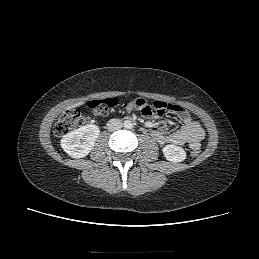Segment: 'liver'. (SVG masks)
<instances>
[{
	"mask_svg": "<svg viewBox=\"0 0 259 259\" xmlns=\"http://www.w3.org/2000/svg\"><path fill=\"white\" fill-rule=\"evenodd\" d=\"M83 104H84V102H78V103H76L74 105H71L68 109H72V108H75V107L83 105Z\"/></svg>",
	"mask_w": 259,
	"mask_h": 259,
	"instance_id": "obj_1",
	"label": "liver"
}]
</instances>
